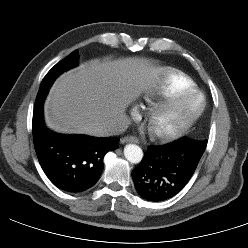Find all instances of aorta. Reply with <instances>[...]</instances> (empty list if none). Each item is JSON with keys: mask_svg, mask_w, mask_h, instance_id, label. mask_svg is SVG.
<instances>
[{"mask_svg": "<svg viewBox=\"0 0 248 248\" xmlns=\"http://www.w3.org/2000/svg\"><path fill=\"white\" fill-rule=\"evenodd\" d=\"M124 156L130 163L137 164L143 158V151L136 144H128L124 148Z\"/></svg>", "mask_w": 248, "mask_h": 248, "instance_id": "762f6f07", "label": "aorta"}]
</instances>
